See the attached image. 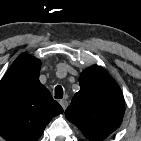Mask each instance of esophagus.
<instances>
[{
	"instance_id": "esophagus-1",
	"label": "esophagus",
	"mask_w": 141,
	"mask_h": 141,
	"mask_svg": "<svg viewBox=\"0 0 141 141\" xmlns=\"http://www.w3.org/2000/svg\"><path fill=\"white\" fill-rule=\"evenodd\" d=\"M59 103L62 106L63 110L65 111L66 108L68 107V102L66 100H60Z\"/></svg>"
}]
</instances>
